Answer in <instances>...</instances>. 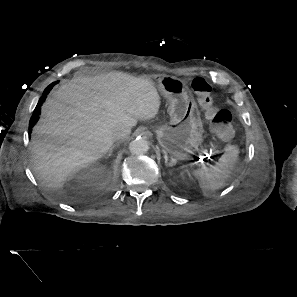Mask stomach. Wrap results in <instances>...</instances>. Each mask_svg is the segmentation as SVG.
<instances>
[{
  "label": "stomach",
  "instance_id": "obj_1",
  "mask_svg": "<svg viewBox=\"0 0 297 297\" xmlns=\"http://www.w3.org/2000/svg\"><path fill=\"white\" fill-rule=\"evenodd\" d=\"M158 89L168 100L169 125L156 128L157 140L164 152L175 160H186L199 150L203 142V125L188 86L180 79L164 76Z\"/></svg>",
  "mask_w": 297,
  "mask_h": 297
}]
</instances>
